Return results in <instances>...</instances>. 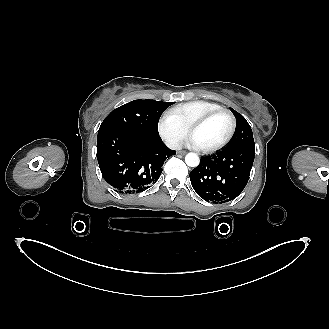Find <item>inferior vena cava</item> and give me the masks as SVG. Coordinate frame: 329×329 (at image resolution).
Returning a JSON list of instances; mask_svg holds the SVG:
<instances>
[{"instance_id": "inferior-vena-cava-1", "label": "inferior vena cava", "mask_w": 329, "mask_h": 329, "mask_svg": "<svg viewBox=\"0 0 329 329\" xmlns=\"http://www.w3.org/2000/svg\"><path fill=\"white\" fill-rule=\"evenodd\" d=\"M166 145L172 150L182 149V144L176 140H169L166 142Z\"/></svg>"}]
</instances>
